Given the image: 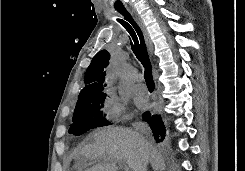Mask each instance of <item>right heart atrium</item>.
I'll return each instance as SVG.
<instances>
[{"mask_svg":"<svg viewBox=\"0 0 245 171\" xmlns=\"http://www.w3.org/2000/svg\"><path fill=\"white\" fill-rule=\"evenodd\" d=\"M102 113L105 119L114 122L124 121L127 119L125 106L112 93L103 100Z\"/></svg>","mask_w":245,"mask_h":171,"instance_id":"1","label":"right heart atrium"}]
</instances>
